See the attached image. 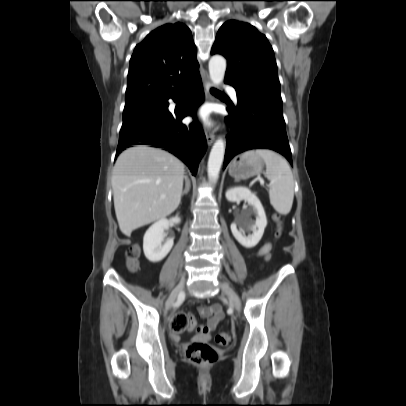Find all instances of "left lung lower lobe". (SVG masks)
<instances>
[{"label":"left lung lower lobe","instance_id":"0a47b994","mask_svg":"<svg viewBox=\"0 0 406 406\" xmlns=\"http://www.w3.org/2000/svg\"><path fill=\"white\" fill-rule=\"evenodd\" d=\"M238 105H229L232 128L227 136L224 168L237 154L257 148L271 149L285 156L292 165V155L285 130L282 106L261 99H241Z\"/></svg>","mask_w":406,"mask_h":406}]
</instances>
